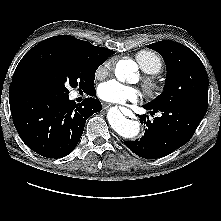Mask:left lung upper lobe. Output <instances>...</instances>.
<instances>
[{
  "label": "left lung upper lobe",
  "mask_w": 221,
  "mask_h": 221,
  "mask_svg": "<svg viewBox=\"0 0 221 221\" xmlns=\"http://www.w3.org/2000/svg\"><path fill=\"white\" fill-rule=\"evenodd\" d=\"M162 55L167 67L164 91L149 103L154 108L174 104L207 106L208 76L199 57L188 47L174 41H159L147 46Z\"/></svg>",
  "instance_id": "5c2ea615"
}]
</instances>
